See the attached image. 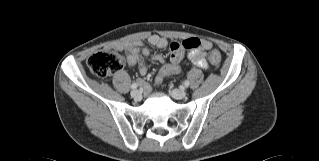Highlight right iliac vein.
<instances>
[{"mask_svg": "<svg viewBox=\"0 0 319 161\" xmlns=\"http://www.w3.org/2000/svg\"><path fill=\"white\" fill-rule=\"evenodd\" d=\"M131 96L134 98V99H140L141 97V94L138 90H134L131 92Z\"/></svg>", "mask_w": 319, "mask_h": 161, "instance_id": "obj_1", "label": "right iliac vein"}]
</instances>
